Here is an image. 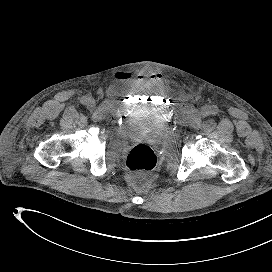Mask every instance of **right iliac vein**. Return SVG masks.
Instances as JSON below:
<instances>
[{
	"mask_svg": "<svg viewBox=\"0 0 272 272\" xmlns=\"http://www.w3.org/2000/svg\"><path fill=\"white\" fill-rule=\"evenodd\" d=\"M87 105L90 108H93L95 106V100L93 98H88Z\"/></svg>",
	"mask_w": 272,
	"mask_h": 272,
	"instance_id": "1",
	"label": "right iliac vein"
}]
</instances>
